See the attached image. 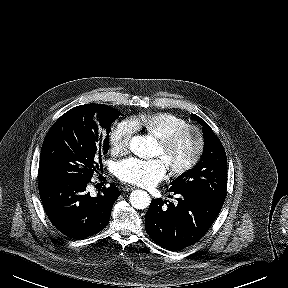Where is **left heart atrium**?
I'll list each match as a JSON object with an SVG mask.
<instances>
[{
  "mask_svg": "<svg viewBox=\"0 0 288 288\" xmlns=\"http://www.w3.org/2000/svg\"><path fill=\"white\" fill-rule=\"evenodd\" d=\"M120 180L142 187H151L166 177L167 164L163 158H129L116 167Z\"/></svg>",
  "mask_w": 288,
  "mask_h": 288,
  "instance_id": "39dd6f15",
  "label": "left heart atrium"
}]
</instances>
